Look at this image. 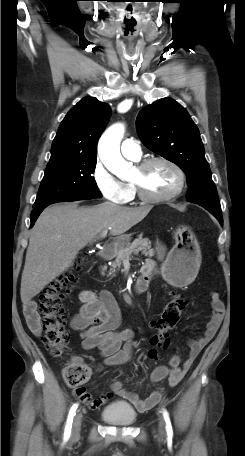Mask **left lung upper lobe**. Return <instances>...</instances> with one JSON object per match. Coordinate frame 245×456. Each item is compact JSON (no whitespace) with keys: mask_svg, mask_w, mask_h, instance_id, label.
I'll use <instances>...</instances> for the list:
<instances>
[{"mask_svg":"<svg viewBox=\"0 0 245 456\" xmlns=\"http://www.w3.org/2000/svg\"><path fill=\"white\" fill-rule=\"evenodd\" d=\"M137 130L148 149L184 171L188 183V201L204 207L212 214H221L200 133L186 109L173 99H160L139 112Z\"/></svg>","mask_w":245,"mask_h":456,"instance_id":"obj_1","label":"left lung upper lobe"}]
</instances>
